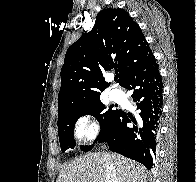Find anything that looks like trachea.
I'll return each instance as SVG.
<instances>
[{
	"mask_svg": "<svg viewBox=\"0 0 196 182\" xmlns=\"http://www.w3.org/2000/svg\"><path fill=\"white\" fill-rule=\"evenodd\" d=\"M118 79V75L115 77V80H117Z\"/></svg>",
	"mask_w": 196,
	"mask_h": 182,
	"instance_id": "obj_1",
	"label": "trachea"
}]
</instances>
